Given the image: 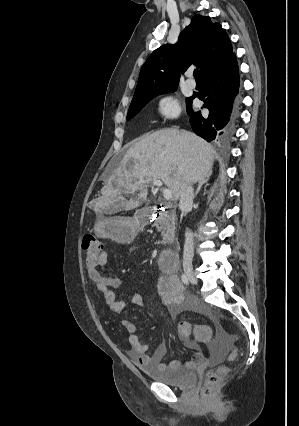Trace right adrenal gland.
<instances>
[{"mask_svg":"<svg viewBox=\"0 0 299 426\" xmlns=\"http://www.w3.org/2000/svg\"><path fill=\"white\" fill-rule=\"evenodd\" d=\"M209 181V177H207V178H205V179H202L201 181H199L198 182V185H197V189H196V191H195V197L198 195V193H199V191H200V189H201V187L204 185V184H206V185H208L207 184V182Z\"/></svg>","mask_w":299,"mask_h":426,"instance_id":"obj_1","label":"right adrenal gland"}]
</instances>
